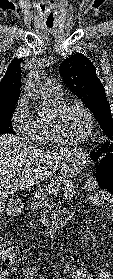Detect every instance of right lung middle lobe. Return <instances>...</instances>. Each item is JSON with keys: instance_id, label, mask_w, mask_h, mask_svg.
Masks as SVG:
<instances>
[{"instance_id": "obj_1", "label": "right lung middle lobe", "mask_w": 113, "mask_h": 279, "mask_svg": "<svg viewBox=\"0 0 113 279\" xmlns=\"http://www.w3.org/2000/svg\"><path fill=\"white\" fill-rule=\"evenodd\" d=\"M14 112V107L5 108L0 110V134L9 133L15 134L13 132L11 117Z\"/></svg>"}]
</instances>
